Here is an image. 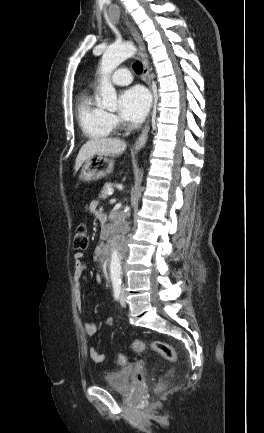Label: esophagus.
<instances>
[{
  "instance_id": "obj_1",
  "label": "esophagus",
  "mask_w": 264,
  "mask_h": 433,
  "mask_svg": "<svg viewBox=\"0 0 264 433\" xmlns=\"http://www.w3.org/2000/svg\"><path fill=\"white\" fill-rule=\"evenodd\" d=\"M127 25L130 28V32H131L134 40L136 41L138 49H139L140 59H141L142 65H143L144 80L152 92L151 76H150L148 56H147V53L145 50V45H144L142 38L140 37L139 33L137 32V30L131 25V23L128 20H127ZM149 129H150V125H149V121H148L145 128L143 129L142 133L140 134V136L138 137V139L136 140V142L134 144V147H133L134 152L139 151L146 144Z\"/></svg>"
}]
</instances>
